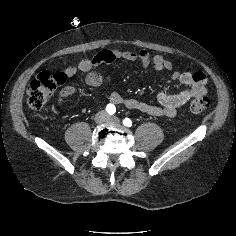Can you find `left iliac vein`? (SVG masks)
<instances>
[{"label": "left iliac vein", "instance_id": "1", "mask_svg": "<svg viewBox=\"0 0 236 236\" xmlns=\"http://www.w3.org/2000/svg\"><path fill=\"white\" fill-rule=\"evenodd\" d=\"M106 120L111 123H120V119L116 116H107Z\"/></svg>", "mask_w": 236, "mask_h": 236}]
</instances>
